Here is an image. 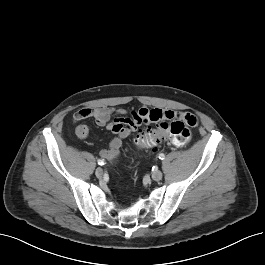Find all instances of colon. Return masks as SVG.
Returning a JSON list of instances; mask_svg holds the SVG:
<instances>
[{"label": "colon", "instance_id": "1", "mask_svg": "<svg viewBox=\"0 0 265 265\" xmlns=\"http://www.w3.org/2000/svg\"><path fill=\"white\" fill-rule=\"evenodd\" d=\"M166 114L161 110H150L148 112L149 123H154L145 131L138 132L134 140L138 146L156 148L162 141H169L176 146H185L192 139V127L198 121L196 117H189L188 121L172 120L167 121Z\"/></svg>", "mask_w": 265, "mask_h": 265}]
</instances>
